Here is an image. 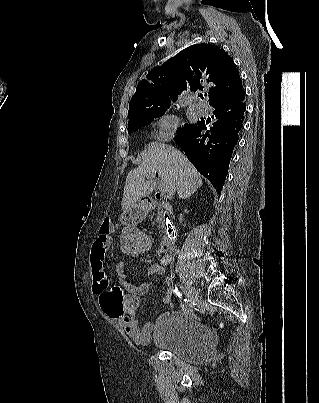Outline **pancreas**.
I'll list each match as a JSON object with an SVG mask.
<instances>
[{"instance_id":"obj_1","label":"pancreas","mask_w":319,"mask_h":403,"mask_svg":"<svg viewBox=\"0 0 319 403\" xmlns=\"http://www.w3.org/2000/svg\"><path fill=\"white\" fill-rule=\"evenodd\" d=\"M157 223H158V228H164V222L162 220V216L158 215L157 219H156Z\"/></svg>"}]
</instances>
